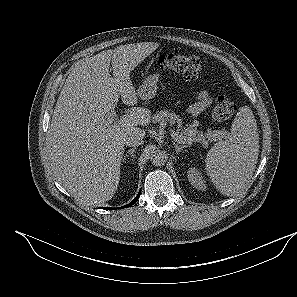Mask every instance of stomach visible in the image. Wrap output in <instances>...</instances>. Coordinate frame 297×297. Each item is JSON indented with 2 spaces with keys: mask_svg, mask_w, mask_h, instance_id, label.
<instances>
[{
  "mask_svg": "<svg viewBox=\"0 0 297 297\" xmlns=\"http://www.w3.org/2000/svg\"><path fill=\"white\" fill-rule=\"evenodd\" d=\"M158 79V73L149 75L144 80L143 84L139 86L137 90V95L143 100H149L154 98L158 89Z\"/></svg>",
  "mask_w": 297,
  "mask_h": 297,
  "instance_id": "0dacf381",
  "label": "stomach"
}]
</instances>
